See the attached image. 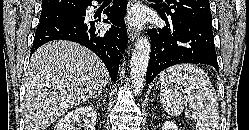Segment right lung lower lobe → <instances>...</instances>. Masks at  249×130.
<instances>
[{"mask_svg": "<svg viewBox=\"0 0 249 130\" xmlns=\"http://www.w3.org/2000/svg\"><path fill=\"white\" fill-rule=\"evenodd\" d=\"M91 2L86 5V8ZM126 0H115L104 10L108 19L89 18L85 11L76 17L47 23H40L37 27L31 54L43 44L53 40H69L79 43L92 50L104 62L113 81H116L119 61L127 46V30L124 22ZM113 24L104 32L95 28L96 22Z\"/></svg>", "mask_w": 249, "mask_h": 130, "instance_id": "98d812e1", "label": "right lung lower lobe"}]
</instances>
